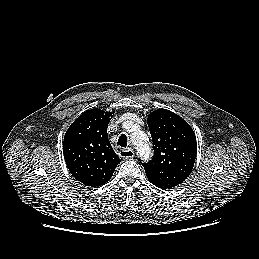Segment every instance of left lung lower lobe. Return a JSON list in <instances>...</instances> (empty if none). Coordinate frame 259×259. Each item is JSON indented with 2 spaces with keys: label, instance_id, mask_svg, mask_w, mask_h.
Returning a JSON list of instances; mask_svg holds the SVG:
<instances>
[{
  "label": "left lung lower lobe",
  "instance_id": "obj_1",
  "mask_svg": "<svg viewBox=\"0 0 259 259\" xmlns=\"http://www.w3.org/2000/svg\"><path fill=\"white\" fill-rule=\"evenodd\" d=\"M148 180L158 188L163 189H170L181 184L185 179L181 176L168 173V172H159V173H152L150 171H145Z\"/></svg>",
  "mask_w": 259,
  "mask_h": 259
}]
</instances>
